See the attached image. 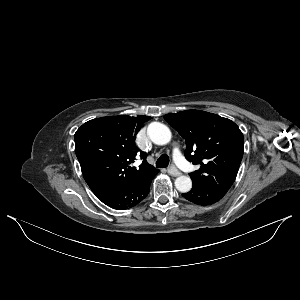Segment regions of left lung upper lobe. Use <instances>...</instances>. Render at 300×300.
Returning <instances> with one entry per match:
<instances>
[{"instance_id": "1", "label": "left lung upper lobe", "mask_w": 300, "mask_h": 300, "mask_svg": "<svg viewBox=\"0 0 300 300\" xmlns=\"http://www.w3.org/2000/svg\"><path fill=\"white\" fill-rule=\"evenodd\" d=\"M164 119L185 139L188 161L200 164L190 173L192 182L228 191L238 173L244 138L239 127L227 118L200 110L170 113Z\"/></svg>"}]
</instances>
